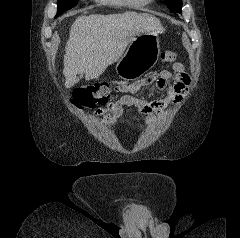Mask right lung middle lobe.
Returning a JSON list of instances; mask_svg holds the SVG:
<instances>
[{
    "instance_id": "1",
    "label": "right lung middle lobe",
    "mask_w": 240,
    "mask_h": 238,
    "mask_svg": "<svg viewBox=\"0 0 240 238\" xmlns=\"http://www.w3.org/2000/svg\"><path fill=\"white\" fill-rule=\"evenodd\" d=\"M77 2L78 0H58L57 14L55 18L61 15L63 12L73 8Z\"/></svg>"
}]
</instances>
